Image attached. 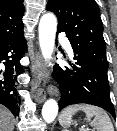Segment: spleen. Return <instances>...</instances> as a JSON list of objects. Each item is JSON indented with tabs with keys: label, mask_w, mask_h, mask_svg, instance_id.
Returning <instances> with one entry per match:
<instances>
[{
	"label": "spleen",
	"mask_w": 117,
	"mask_h": 131,
	"mask_svg": "<svg viewBox=\"0 0 117 131\" xmlns=\"http://www.w3.org/2000/svg\"><path fill=\"white\" fill-rule=\"evenodd\" d=\"M78 111H83L86 114L85 120L97 131H114L108 114L101 108L89 104H77L67 107L59 116L60 125L64 128L71 126L73 121L72 117ZM93 117L94 119L91 120ZM80 131H85V129L81 128Z\"/></svg>",
	"instance_id": "3e777b00"
}]
</instances>
